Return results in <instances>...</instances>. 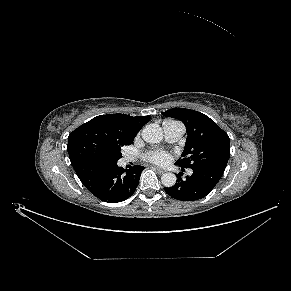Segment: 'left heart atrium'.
Here are the masks:
<instances>
[{
  "instance_id": "39dd6f15",
  "label": "left heart atrium",
  "mask_w": 291,
  "mask_h": 291,
  "mask_svg": "<svg viewBox=\"0 0 291 291\" xmlns=\"http://www.w3.org/2000/svg\"><path fill=\"white\" fill-rule=\"evenodd\" d=\"M146 159L155 164H165L169 160V154L162 150H153L146 154Z\"/></svg>"
}]
</instances>
